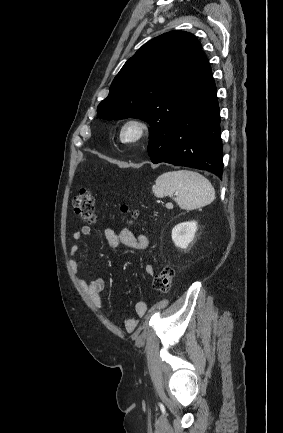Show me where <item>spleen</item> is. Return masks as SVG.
I'll return each instance as SVG.
<instances>
[{
  "label": "spleen",
  "mask_w": 283,
  "mask_h": 433,
  "mask_svg": "<svg viewBox=\"0 0 283 433\" xmlns=\"http://www.w3.org/2000/svg\"><path fill=\"white\" fill-rule=\"evenodd\" d=\"M155 196H174L180 208L194 210L213 202L215 198L214 186L210 180L193 170H171L163 172L152 186Z\"/></svg>",
  "instance_id": "obj_1"
}]
</instances>
